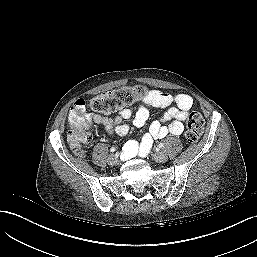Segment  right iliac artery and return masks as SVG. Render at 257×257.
Masks as SVG:
<instances>
[{"label": "right iliac artery", "mask_w": 257, "mask_h": 257, "mask_svg": "<svg viewBox=\"0 0 257 257\" xmlns=\"http://www.w3.org/2000/svg\"><path fill=\"white\" fill-rule=\"evenodd\" d=\"M110 151H111V152H114V151H116V149H115L114 147H112V148L110 149Z\"/></svg>", "instance_id": "right-iliac-artery-1"}]
</instances>
